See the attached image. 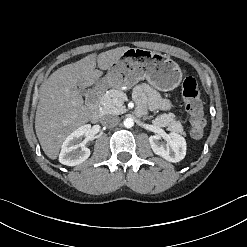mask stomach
Masks as SVG:
<instances>
[{
    "mask_svg": "<svg viewBox=\"0 0 247 247\" xmlns=\"http://www.w3.org/2000/svg\"><path fill=\"white\" fill-rule=\"evenodd\" d=\"M182 78L177 63L160 53L141 48H130L108 69L104 83L115 89L129 90L146 79L161 91L176 88Z\"/></svg>",
    "mask_w": 247,
    "mask_h": 247,
    "instance_id": "1",
    "label": "stomach"
}]
</instances>
